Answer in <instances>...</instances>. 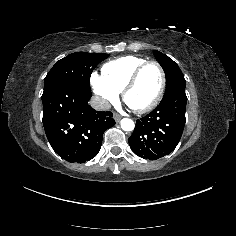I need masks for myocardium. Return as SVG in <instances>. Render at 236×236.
Instances as JSON below:
<instances>
[{"instance_id": "1", "label": "myocardium", "mask_w": 236, "mask_h": 236, "mask_svg": "<svg viewBox=\"0 0 236 236\" xmlns=\"http://www.w3.org/2000/svg\"><path fill=\"white\" fill-rule=\"evenodd\" d=\"M150 65H154L156 66L159 71H160V75H161V81H160V86L158 89V92L155 96V98L153 99L152 102H150L148 105L142 107V108H133L131 106H129L133 111H135L136 113H146L149 112L151 110H153L162 100L163 95H164V91L166 88V83H167V77H166V72L163 68V66L154 60H150V61H145L142 64H140L131 74L130 78L128 79V81L126 82L123 90H122V98L123 101L128 105L127 103V94L128 92L133 88V86L136 84L140 74L142 73V71Z\"/></svg>"}]
</instances>
